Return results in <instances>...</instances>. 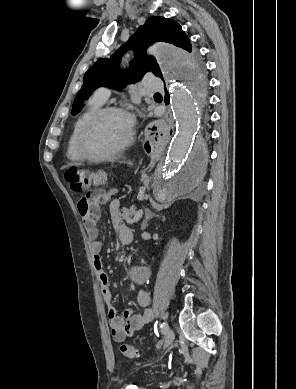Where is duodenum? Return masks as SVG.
Returning a JSON list of instances; mask_svg holds the SVG:
<instances>
[{
    "label": "duodenum",
    "mask_w": 296,
    "mask_h": 389,
    "mask_svg": "<svg viewBox=\"0 0 296 389\" xmlns=\"http://www.w3.org/2000/svg\"><path fill=\"white\" fill-rule=\"evenodd\" d=\"M123 243L127 244V243H129V240L125 239V240H123Z\"/></svg>",
    "instance_id": "obj_1"
}]
</instances>
